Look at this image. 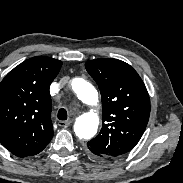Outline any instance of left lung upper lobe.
Wrapping results in <instances>:
<instances>
[{
    "mask_svg": "<svg viewBox=\"0 0 183 183\" xmlns=\"http://www.w3.org/2000/svg\"><path fill=\"white\" fill-rule=\"evenodd\" d=\"M85 68L100 89L103 114L102 129L87 143V149L117 158L134 148L145 131L150 114L147 89L138 73L123 61L95 59Z\"/></svg>",
    "mask_w": 183,
    "mask_h": 183,
    "instance_id": "1",
    "label": "left lung upper lobe"
}]
</instances>
